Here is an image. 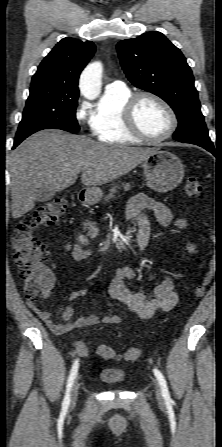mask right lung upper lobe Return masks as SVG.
<instances>
[{"label":"right lung upper lobe","instance_id":"1","mask_svg":"<svg viewBox=\"0 0 222 447\" xmlns=\"http://www.w3.org/2000/svg\"><path fill=\"white\" fill-rule=\"evenodd\" d=\"M95 52L91 41L62 39L44 58L33 75L31 88L50 86L56 92L78 95V79Z\"/></svg>","mask_w":222,"mask_h":447}]
</instances>
